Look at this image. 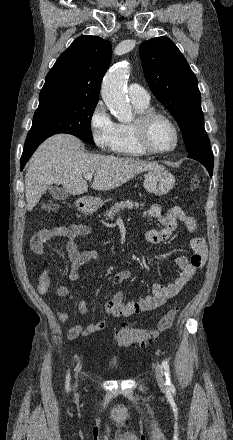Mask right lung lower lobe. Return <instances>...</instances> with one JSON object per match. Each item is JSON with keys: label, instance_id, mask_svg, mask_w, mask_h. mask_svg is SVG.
Listing matches in <instances>:
<instances>
[{"label": "right lung lower lobe", "instance_id": "right-lung-lower-lobe-1", "mask_svg": "<svg viewBox=\"0 0 233 440\" xmlns=\"http://www.w3.org/2000/svg\"><path fill=\"white\" fill-rule=\"evenodd\" d=\"M54 134H28L21 157V170L24 168L26 162L29 160L37 147L48 137Z\"/></svg>", "mask_w": 233, "mask_h": 440}]
</instances>
